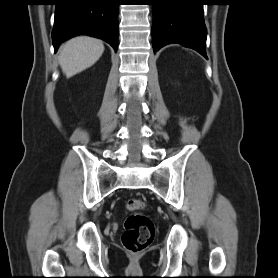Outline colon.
I'll use <instances>...</instances> for the list:
<instances>
[{"mask_svg": "<svg viewBox=\"0 0 278 278\" xmlns=\"http://www.w3.org/2000/svg\"><path fill=\"white\" fill-rule=\"evenodd\" d=\"M126 206L132 214L125 220L122 243L129 252L136 254L152 243L155 227L148 216L138 213L145 207L143 200L138 198L129 199Z\"/></svg>", "mask_w": 278, "mask_h": 278, "instance_id": "obj_1", "label": "colon"}]
</instances>
